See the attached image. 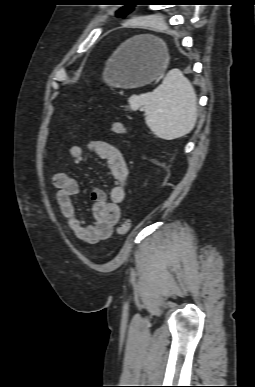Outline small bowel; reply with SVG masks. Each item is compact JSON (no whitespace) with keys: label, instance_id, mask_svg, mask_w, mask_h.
<instances>
[{"label":"small bowel","instance_id":"1","mask_svg":"<svg viewBox=\"0 0 255 387\" xmlns=\"http://www.w3.org/2000/svg\"><path fill=\"white\" fill-rule=\"evenodd\" d=\"M68 152L76 163L83 161L86 152L104 159L114 180L109 195L101 188L92 190V222L87 223L78 213L73 200L80 192L78 181L68 173H56L52 177L56 202L69 228L78 239L95 244L111 236L121 217L120 204L125 198L129 177L127 163L118 147L102 140H89L84 147L73 145Z\"/></svg>","mask_w":255,"mask_h":387}]
</instances>
